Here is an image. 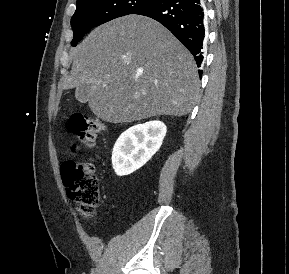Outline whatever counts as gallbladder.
<instances>
[{
	"label": "gallbladder",
	"mask_w": 289,
	"mask_h": 274,
	"mask_svg": "<svg viewBox=\"0 0 289 274\" xmlns=\"http://www.w3.org/2000/svg\"><path fill=\"white\" fill-rule=\"evenodd\" d=\"M88 95H89V86L88 85H82L76 89L75 97L80 102H82V103L87 102Z\"/></svg>",
	"instance_id": "gallbladder-1"
}]
</instances>
